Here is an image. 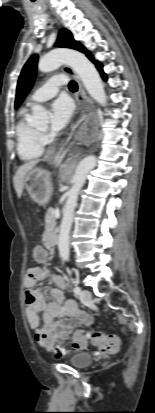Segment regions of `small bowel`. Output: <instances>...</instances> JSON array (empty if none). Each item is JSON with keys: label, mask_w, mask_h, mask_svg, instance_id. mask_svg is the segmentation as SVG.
Masks as SVG:
<instances>
[{"label": "small bowel", "mask_w": 155, "mask_h": 413, "mask_svg": "<svg viewBox=\"0 0 155 413\" xmlns=\"http://www.w3.org/2000/svg\"><path fill=\"white\" fill-rule=\"evenodd\" d=\"M51 231L47 229L43 233L45 247L52 245ZM43 279H49L56 285L47 291L49 301L43 293L33 290L35 284ZM24 286L27 320L39 344L45 340L61 343L75 328L91 325L92 317L79 310L75 301L65 299L62 292L64 280L61 277L50 274L45 268L33 266L27 270ZM39 313H42V322Z\"/></svg>", "instance_id": "obj_1"}]
</instances>
